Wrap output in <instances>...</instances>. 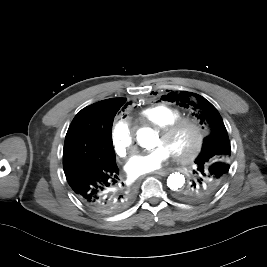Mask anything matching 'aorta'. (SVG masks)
<instances>
[{"label": "aorta", "mask_w": 267, "mask_h": 267, "mask_svg": "<svg viewBox=\"0 0 267 267\" xmlns=\"http://www.w3.org/2000/svg\"><path fill=\"white\" fill-rule=\"evenodd\" d=\"M136 138L140 146L151 149L155 146L157 135L150 128H141L136 133ZM185 184V177L179 172L172 173L167 178V186L173 190L178 191L183 188Z\"/></svg>", "instance_id": "obj_1"}]
</instances>
